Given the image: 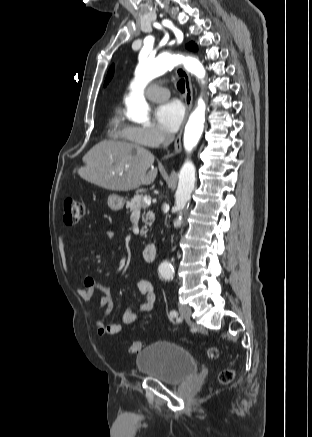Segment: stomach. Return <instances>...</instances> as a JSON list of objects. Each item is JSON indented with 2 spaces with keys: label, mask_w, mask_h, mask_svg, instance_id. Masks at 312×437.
Here are the masks:
<instances>
[{
  "label": "stomach",
  "mask_w": 312,
  "mask_h": 437,
  "mask_svg": "<svg viewBox=\"0 0 312 437\" xmlns=\"http://www.w3.org/2000/svg\"><path fill=\"white\" fill-rule=\"evenodd\" d=\"M107 204L112 211H119L123 209L125 199L117 194H110L107 199Z\"/></svg>",
  "instance_id": "obj_1"
}]
</instances>
